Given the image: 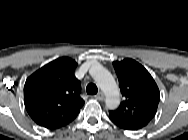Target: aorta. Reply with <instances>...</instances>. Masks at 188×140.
Wrapping results in <instances>:
<instances>
[{
    "mask_svg": "<svg viewBox=\"0 0 188 140\" xmlns=\"http://www.w3.org/2000/svg\"><path fill=\"white\" fill-rule=\"evenodd\" d=\"M98 82L105 93L107 103L111 106L117 105L119 102V91L112 76L106 72H102L98 77Z\"/></svg>",
    "mask_w": 188,
    "mask_h": 140,
    "instance_id": "obj_1",
    "label": "aorta"
}]
</instances>
